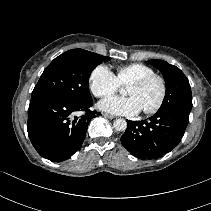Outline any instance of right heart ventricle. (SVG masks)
Returning a JSON list of instances; mask_svg holds the SVG:
<instances>
[{
    "instance_id": "obj_1",
    "label": "right heart ventricle",
    "mask_w": 211,
    "mask_h": 211,
    "mask_svg": "<svg viewBox=\"0 0 211 211\" xmlns=\"http://www.w3.org/2000/svg\"><path fill=\"white\" fill-rule=\"evenodd\" d=\"M155 74L152 67L142 63H131L117 68L116 77L121 85L128 86L143 77Z\"/></svg>"
}]
</instances>
